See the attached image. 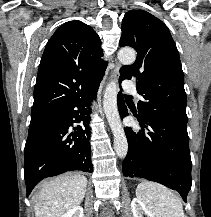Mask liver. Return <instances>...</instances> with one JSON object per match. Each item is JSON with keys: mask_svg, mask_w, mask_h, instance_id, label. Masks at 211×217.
Wrapping results in <instances>:
<instances>
[{"mask_svg": "<svg viewBox=\"0 0 211 217\" xmlns=\"http://www.w3.org/2000/svg\"><path fill=\"white\" fill-rule=\"evenodd\" d=\"M87 179L80 174H66L38 186L35 217H61L79 206L84 199Z\"/></svg>", "mask_w": 211, "mask_h": 217, "instance_id": "1", "label": "liver"}]
</instances>
